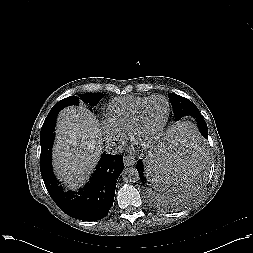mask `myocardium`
I'll list each match as a JSON object with an SVG mask.
<instances>
[{"mask_svg":"<svg viewBox=\"0 0 253 253\" xmlns=\"http://www.w3.org/2000/svg\"><path fill=\"white\" fill-rule=\"evenodd\" d=\"M164 99L167 103V114H166V117L162 123V125L159 127V129L154 132L151 136H149L148 138H146L145 140H140L137 138V133H138V129H139V126H140V123H141V119H142V116H143V112L145 110V108L155 99ZM170 115H171V103L169 101V99L163 95H154V96H151L149 99H147L143 104H141V106L138 108L137 112H136V115L131 123V126L129 128V131H128V137L129 139L139 145V146H142V147H148V146H151L152 144H154L160 137L161 135L163 134L167 124H168V121H169V118H170Z\"/></svg>","mask_w":253,"mask_h":253,"instance_id":"f54148a6","label":"myocardium"}]
</instances>
